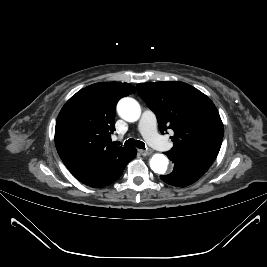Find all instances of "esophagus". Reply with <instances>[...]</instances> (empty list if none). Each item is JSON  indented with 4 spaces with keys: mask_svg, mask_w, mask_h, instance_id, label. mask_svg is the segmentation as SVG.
<instances>
[{
    "mask_svg": "<svg viewBox=\"0 0 267 267\" xmlns=\"http://www.w3.org/2000/svg\"><path fill=\"white\" fill-rule=\"evenodd\" d=\"M139 152L143 155V156H148L151 154V151L149 150H139Z\"/></svg>",
    "mask_w": 267,
    "mask_h": 267,
    "instance_id": "1",
    "label": "esophagus"
}]
</instances>
